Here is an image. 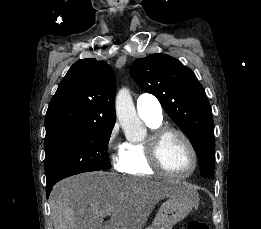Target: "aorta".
<instances>
[{"label": "aorta", "instance_id": "762f6f07", "mask_svg": "<svg viewBox=\"0 0 261 229\" xmlns=\"http://www.w3.org/2000/svg\"><path fill=\"white\" fill-rule=\"evenodd\" d=\"M116 117L125 135H131L132 139L145 137L146 129L137 117L133 98L128 88H121L115 98Z\"/></svg>", "mask_w": 261, "mask_h": 229}]
</instances>
